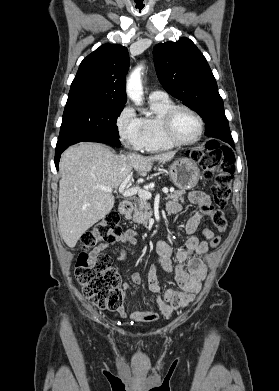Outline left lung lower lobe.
<instances>
[{
  "mask_svg": "<svg viewBox=\"0 0 279 391\" xmlns=\"http://www.w3.org/2000/svg\"><path fill=\"white\" fill-rule=\"evenodd\" d=\"M225 142L229 143L231 146L234 147V143H233V141L231 139H226Z\"/></svg>",
  "mask_w": 279,
  "mask_h": 391,
  "instance_id": "left-lung-lower-lobe-1",
  "label": "left lung lower lobe"
}]
</instances>
